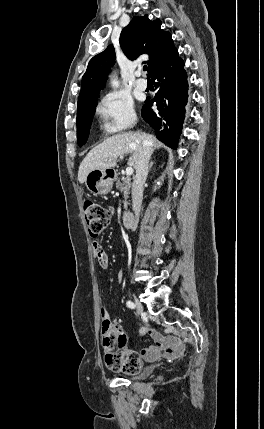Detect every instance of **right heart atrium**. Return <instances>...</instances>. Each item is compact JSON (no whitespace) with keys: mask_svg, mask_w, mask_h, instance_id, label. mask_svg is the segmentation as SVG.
<instances>
[{"mask_svg":"<svg viewBox=\"0 0 264 429\" xmlns=\"http://www.w3.org/2000/svg\"><path fill=\"white\" fill-rule=\"evenodd\" d=\"M96 111L101 119L103 129L107 133L125 131L136 122L132 100L119 92H111L102 96Z\"/></svg>","mask_w":264,"mask_h":429,"instance_id":"d8ad5b80","label":"right heart atrium"}]
</instances>
